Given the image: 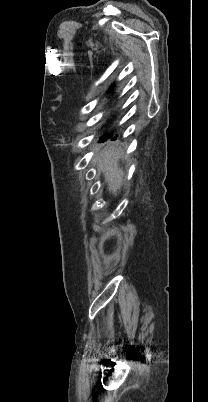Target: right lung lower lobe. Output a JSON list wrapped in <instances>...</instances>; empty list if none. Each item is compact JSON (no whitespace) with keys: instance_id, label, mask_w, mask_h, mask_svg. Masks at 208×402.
<instances>
[{"instance_id":"right-lung-lower-lobe-1","label":"right lung lower lobe","mask_w":208,"mask_h":402,"mask_svg":"<svg viewBox=\"0 0 208 402\" xmlns=\"http://www.w3.org/2000/svg\"><path fill=\"white\" fill-rule=\"evenodd\" d=\"M114 139H116V137H114L113 140H114ZM103 140H104V137L101 139V141H103Z\"/></svg>"}]
</instances>
